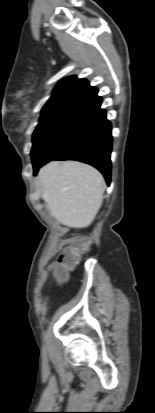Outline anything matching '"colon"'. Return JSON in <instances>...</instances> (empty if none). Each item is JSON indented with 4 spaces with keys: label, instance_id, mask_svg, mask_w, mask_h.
I'll return each mask as SVG.
<instances>
[{
    "label": "colon",
    "instance_id": "colon-1",
    "mask_svg": "<svg viewBox=\"0 0 155 413\" xmlns=\"http://www.w3.org/2000/svg\"><path fill=\"white\" fill-rule=\"evenodd\" d=\"M89 248L90 242L82 240H76L67 245L52 270L58 284L62 283L69 272L77 265L80 257L85 254Z\"/></svg>",
    "mask_w": 155,
    "mask_h": 413
}]
</instances>
